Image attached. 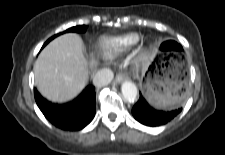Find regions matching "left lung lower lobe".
I'll return each instance as SVG.
<instances>
[{"mask_svg": "<svg viewBox=\"0 0 225 155\" xmlns=\"http://www.w3.org/2000/svg\"><path fill=\"white\" fill-rule=\"evenodd\" d=\"M185 93L187 94V90ZM181 110L182 108L170 112L156 110L151 107L140 94L139 100L132 108V114L134 118L141 124L150 127H156L171 121L181 112Z\"/></svg>", "mask_w": 225, "mask_h": 155, "instance_id": "1", "label": "left lung lower lobe"}]
</instances>
